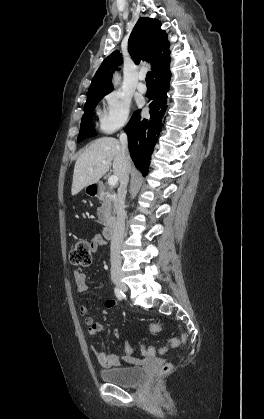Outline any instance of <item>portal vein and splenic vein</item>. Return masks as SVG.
Returning <instances> with one entry per match:
<instances>
[{"mask_svg": "<svg viewBox=\"0 0 264 419\" xmlns=\"http://www.w3.org/2000/svg\"><path fill=\"white\" fill-rule=\"evenodd\" d=\"M103 163H104V162H103ZM90 170H92V169H90ZM117 182H118V177H117V176H115V175L110 176V177H109V179H108V184H109L110 186H115V185L117 184Z\"/></svg>", "mask_w": 264, "mask_h": 419, "instance_id": "18ae733b", "label": "portal vein and splenic vein"}]
</instances>
